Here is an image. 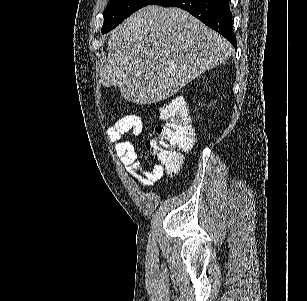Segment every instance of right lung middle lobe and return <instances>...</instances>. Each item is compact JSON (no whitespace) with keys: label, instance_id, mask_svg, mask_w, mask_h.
Segmentation results:
<instances>
[{"label":"right lung middle lobe","instance_id":"right-lung-middle-lobe-1","mask_svg":"<svg viewBox=\"0 0 307 301\" xmlns=\"http://www.w3.org/2000/svg\"><path fill=\"white\" fill-rule=\"evenodd\" d=\"M155 0H109L104 11L101 32L107 33L138 9L152 4Z\"/></svg>","mask_w":307,"mask_h":301}]
</instances>
